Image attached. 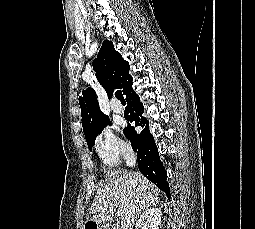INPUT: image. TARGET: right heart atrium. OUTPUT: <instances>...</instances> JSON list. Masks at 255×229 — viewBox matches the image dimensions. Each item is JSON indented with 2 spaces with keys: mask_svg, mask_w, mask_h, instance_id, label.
Here are the masks:
<instances>
[{
  "mask_svg": "<svg viewBox=\"0 0 255 229\" xmlns=\"http://www.w3.org/2000/svg\"><path fill=\"white\" fill-rule=\"evenodd\" d=\"M95 150L106 167L116 165L121 158L127 156L131 151L130 146L119 139L110 129H104L97 136Z\"/></svg>",
  "mask_w": 255,
  "mask_h": 229,
  "instance_id": "right-heart-atrium-1",
  "label": "right heart atrium"
}]
</instances>
